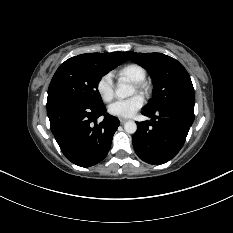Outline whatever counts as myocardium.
I'll list each match as a JSON object with an SVG mask.
<instances>
[{"instance_id":"obj_1","label":"myocardium","mask_w":233,"mask_h":233,"mask_svg":"<svg viewBox=\"0 0 233 233\" xmlns=\"http://www.w3.org/2000/svg\"><path fill=\"white\" fill-rule=\"evenodd\" d=\"M134 88L136 92L141 94L142 96H147L149 93V89H150L146 81L134 83Z\"/></svg>"}]
</instances>
